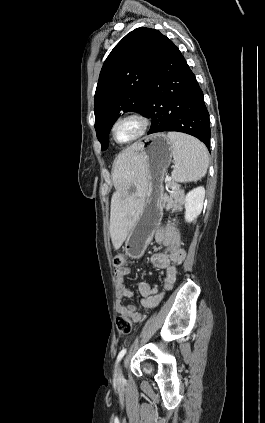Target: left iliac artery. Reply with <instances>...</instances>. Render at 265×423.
I'll return each instance as SVG.
<instances>
[{"mask_svg": "<svg viewBox=\"0 0 265 423\" xmlns=\"http://www.w3.org/2000/svg\"><path fill=\"white\" fill-rule=\"evenodd\" d=\"M125 353H126V348H123V349L119 352V354H118V356H117V360H116V365H115V367L117 366V364L119 363V361L123 358V356L125 355Z\"/></svg>", "mask_w": 265, "mask_h": 423, "instance_id": "obj_1", "label": "left iliac artery"}]
</instances>
